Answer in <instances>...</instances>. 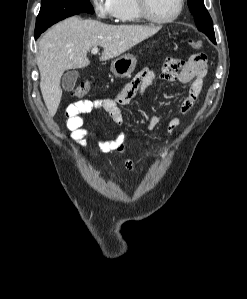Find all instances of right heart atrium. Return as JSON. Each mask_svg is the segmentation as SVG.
<instances>
[{"mask_svg":"<svg viewBox=\"0 0 247 299\" xmlns=\"http://www.w3.org/2000/svg\"><path fill=\"white\" fill-rule=\"evenodd\" d=\"M96 16L100 19L113 17V0H90Z\"/></svg>","mask_w":247,"mask_h":299,"instance_id":"1","label":"right heart atrium"}]
</instances>
